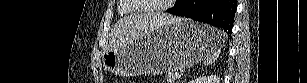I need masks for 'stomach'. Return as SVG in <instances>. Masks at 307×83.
I'll list each match as a JSON object with an SVG mask.
<instances>
[{"instance_id": "0dacf381", "label": "stomach", "mask_w": 307, "mask_h": 83, "mask_svg": "<svg viewBox=\"0 0 307 83\" xmlns=\"http://www.w3.org/2000/svg\"><path fill=\"white\" fill-rule=\"evenodd\" d=\"M217 31L185 18L161 25L102 56L105 68L117 76L162 74L201 62L217 48Z\"/></svg>"}]
</instances>
